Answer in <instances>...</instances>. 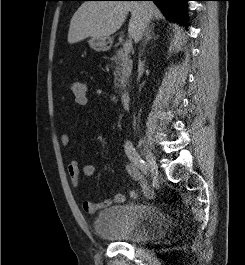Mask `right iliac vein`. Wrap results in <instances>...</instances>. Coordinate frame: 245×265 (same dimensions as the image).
Masks as SVG:
<instances>
[{
    "mask_svg": "<svg viewBox=\"0 0 245 265\" xmlns=\"http://www.w3.org/2000/svg\"><path fill=\"white\" fill-rule=\"evenodd\" d=\"M141 148H142V152L148 162V166L149 169L151 171V173L155 176L158 175V166L156 163V158L154 156V154L152 153V151L144 144L143 141L139 142Z\"/></svg>",
    "mask_w": 245,
    "mask_h": 265,
    "instance_id": "right-iliac-vein-1",
    "label": "right iliac vein"
}]
</instances>
